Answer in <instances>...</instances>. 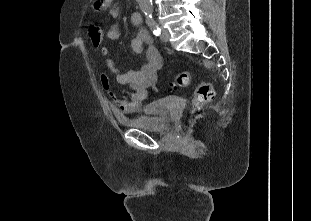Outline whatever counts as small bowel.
I'll return each instance as SVG.
<instances>
[{
	"label": "small bowel",
	"mask_w": 311,
	"mask_h": 221,
	"mask_svg": "<svg viewBox=\"0 0 311 221\" xmlns=\"http://www.w3.org/2000/svg\"><path fill=\"white\" fill-rule=\"evenodd\" d=\"M109 12L113 18H116L120 15L121 8L119 5H112ZM142 21V16L139 13L132 14L131 22L134 26H140ZM106 36L111 41L119 39L120 30L118 26L112 24ZM131 48L136 54H141L144 51L146 59L145 63L134 70L120 69L111 58L107 57L109 49L106 46L100 48V54L105 57V67L114 73L118 84L126 86L120 93H117L112 89L109 77L104 73L101 74V85L108 94L111 106L120 117L141 112L144 99L148 96L150 89L155 88L158 71L163 62L159 51L152 43L149 33L145 30L137 32L132 40Z\"/></svg>",
	"instance_id": "c3829d8e"
}]
</instances>
